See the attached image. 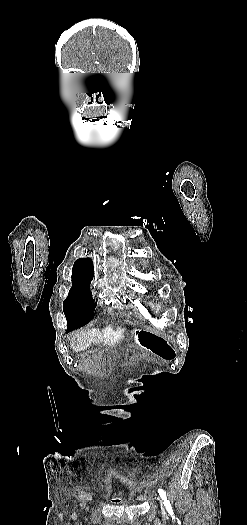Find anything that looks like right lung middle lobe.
I'll use <instances>...</instances> for the list:
<instances>
[{"label":"right lung middle lobe","instance_id":"dd1d6c3e","mask_svg":"<svg viewBox=\"0 0 247 525\" xmlns=\"http://www.w3.org/2000/svg\"><path fill=\"white\" fill-rule=\"evenodd\" d=\"M93 275L72 273V288L63 302L67 329H76L87 324L94 317L96 303L92 300L89 286Z\"/></svg>","mask_w":247,"mask_h":525}]
</instances>
